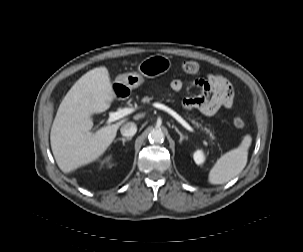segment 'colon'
Wrapping results in <instances>:
<instances>
[{"label":"colon","instance_id":"obj_1","mask_svg":"<svg viewBox=\"0 0 303 252\" xmlns=\"http://www.w3.org/2000/svg\"><path fill=\"white\" fill-rule=\"evenodd\" d=\"M181 69L188 74H197L200 72L201 66L196 61H184L181 63ZM233 125L237 130H243L245 128V120L242 115H235L233 118Z\"/></svg>","mask_w":303,"mask_h":252}]
</instances>
